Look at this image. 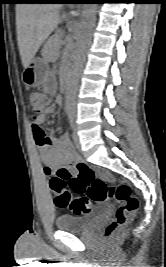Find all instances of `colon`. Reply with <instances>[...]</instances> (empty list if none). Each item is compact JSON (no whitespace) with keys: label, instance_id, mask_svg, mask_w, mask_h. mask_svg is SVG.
<instances>
[{"label":"colon","instance_id":"5ec220e1","mask_svg":"<svg viewBox=\"0 0 166 267\" xmlns=\"http://www.w3.org/2000/svg\"><path fill=\"white\" fill-rule=\"evenodd\" d=\"M28 99L34 115L51 107L50 96L41 91H31ZM42 136V133H38V137ZM110 178L108 174L98 176L90 166L78 161L71 167H59L49 184L55 193V204L59 208H69L76 215L89 213L94 203L110 199L119 203L115 218L104 229V237L108 239L132 221L139 206L128 184L110 185L107 183ZM67 186L82 196L73 197Z\"/></svg>","mask_w":166,"mask_h":267}]
</instances>
